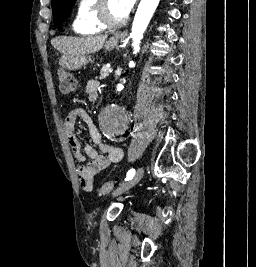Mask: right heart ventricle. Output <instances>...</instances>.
Segmentation results:
<instances>
[{"label":"right heart ventricle","instance_id":"right-heart-ventricle-1","mask_svg":"<svg viewBox=\"0 0 256 267\" xmlns=\"http://www.w3.org/2000/svg\"><path fill=\"white\" fill-rule=\"evenodd\" d=\"M84 6L78 19L72 26L79 36H102L103 28L97 23L95 15L99 8V0H83Z\"/></svg>","mask_w":256,"mask_h":267}]
</instances>
